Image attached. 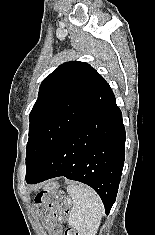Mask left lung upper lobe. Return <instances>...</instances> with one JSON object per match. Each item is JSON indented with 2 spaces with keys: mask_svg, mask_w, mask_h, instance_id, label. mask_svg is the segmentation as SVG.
Returning <instances> with one entry per match:
<instances>
[{
  "mask_svg": "<svg viewBox=\"0 0 155 235\" xmlns=\"http://www.w3.org/2000/svg\"><path fill=\"white\" fill-rule=\"evenodd\" d=\"M109 84L89 64H61L41 83L29 118L26 176L36 174L65 135L95 106Z\"/></svg>",
  "mask_w": 155,
  "mask_h": 235,
  "instance_id": "left-lung-upper-lobe-1",
  "label": "left lung upper lobe"
}]
</instances>
